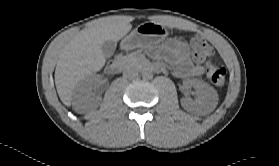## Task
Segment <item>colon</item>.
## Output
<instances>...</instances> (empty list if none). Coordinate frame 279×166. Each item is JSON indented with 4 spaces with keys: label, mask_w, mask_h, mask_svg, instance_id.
Here are the masks:
<instances>
[{
    "label": "colon",
    "mask_w": 279,
    "mask_h": 166,
    "mask_svg": "<svg viewBox=\"0 0 279 166\" xmlns=\"http://www.w3.org/2000/svg\"><path fill=\"white\" fill-rule=\"evenodd\" d=\"M191 47L193 56L198 61H203L206 57L212 55V48L200 37L195 36L191 39ZM205 71L208 79L215 85L224 84L226 77L225 67L217 62L207 61Z\"/></svg>",
    "instance_id": "5ec220e1"
}]
</instances>
